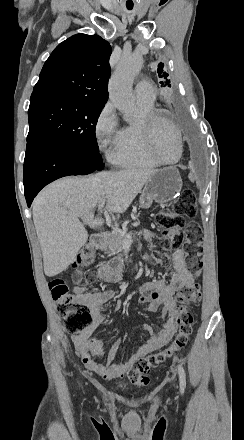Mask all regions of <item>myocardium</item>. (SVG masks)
Listing matches in <instances>:
<instances>
[{
	"label": "myocardium",
	"instance_id": "myocardium-1",
	"mask_svg": "<svg viewBox=\"0 0 244 440\" xmlns=\"http://www.w3.org/2000/svg\"><path fill=\"white\" fill-rule=\"evenodd\" d=\"M163 123L162 125L165 127L166 125L168 127H171L170 129H172L173 131L176 132L177 137H178V150H177V156L175 159L173 160H164L160 155L156 154L154 156V158L156 159V161L162 165H173L179 162L181 156H182V151H183V141H182V136L180 131L178 130V128L176 126H174L173 122H169L168 118H164L163 114L161 111L159 110H153L151 113H149L146 117L143 118L142 120V129L146 130L147 132H144L142 135L144 136L142 139L144 141H146V147H148L149 153L150 154H155V149L153 147V143H152V138L156 132V129L153 128L156 124H160ZM167 123V124H166Z\"/></svg>",
	"mask_w": 244,
	"mask_h": 440
}]
</instances>
